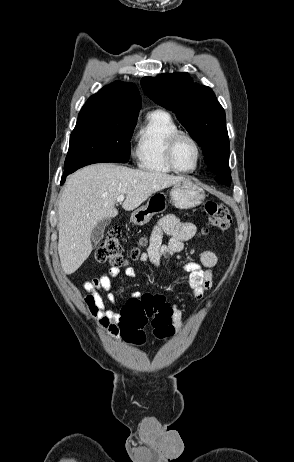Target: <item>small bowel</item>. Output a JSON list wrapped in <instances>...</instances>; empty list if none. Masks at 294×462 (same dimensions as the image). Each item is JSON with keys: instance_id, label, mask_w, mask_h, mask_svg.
Returning a JSON list of instances; mask_svg holds the SVG:
<instances>
[{"instance_id": "c3829d8e", "label": "small bowel", "mask_w": 294, "mask_h": 462, "mask_svg": "<svg viewBox=\"0 0 294 462\" xmlns=\"http://www.w3.org/2000/svg\"><path fill=\"white\" fill-rule=\"evenodd\" d=\"M170 236L168 244L162 241L163 234ZM196 233L194 224L182 221L174 215H165L154 228L149 246L140 260L158 267L163 256L170 257L184 249V243ZM217 264V256L211 250L200 254L199 262H188L184 265L187 273V283L195 300H200L206 290L212 286L213 268ZM120 273L118 267H111L106 273L83 283L86 292L84 302L100 327L112 338H123L119 327L120 312L116 308L115 297L112 293L113 279ZM126 277L134 278L136 270L128 267L124 272ZM172 323L175 329L183 326L182 311L172 305Z\"/></svg>"}]
</instances>
